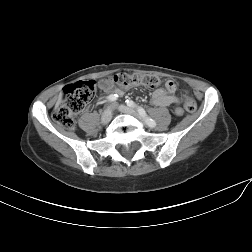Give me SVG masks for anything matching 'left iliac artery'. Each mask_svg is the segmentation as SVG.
I'll return each instance as SVG.
<instances>
[{
  "label": "left iliac artery",
  "mask_w": 252,
  "mask_h": 252,
  "mask_svg": "<svg viewBox=\"0 0 252 252\" xmlns=\"http://www.w3.org/2000/svg\"><path fill=\"white\" fill-rule=\"evenodd\" d=\"M126 104L129 107L135 108L138 111L139 115L142 118H144L146 124L149 127H155L156 126V122L152 118L148 117L147 114H146V112H145V110L142 107L137 106L134 101H132V100H126Z\"/></svg>",
  "instance_id": "obj_1"
}]
</instances>
